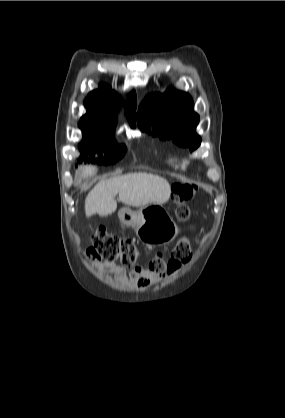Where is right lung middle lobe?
<instances>
[{
  "label": "right lung middle lobe",
  "instance_id": "dd1d6c3e",
  "mask_svg": "<svg viewBox=\"0 0 285 418\" xmlns=\"http://www.w3.org/2000/svg\"><path fill=\"white\" fill-rule=\"evenodd\" d=\"M80 127L83 132V140L79 146L81 156L77 159L78 163L82 162V160L90 161L88 155L91 157V153H98L102 150L106 153V157L103 159V156L99 155V158L95 160L99 164H113L124 156L126 147L123 145L116 146V142L113 139L114 125L81 120ZM93 161L94 158L92 159Z\"/></svg>",
  "mask_w": 285,
  "mask_h": 418
}]
</instances>
